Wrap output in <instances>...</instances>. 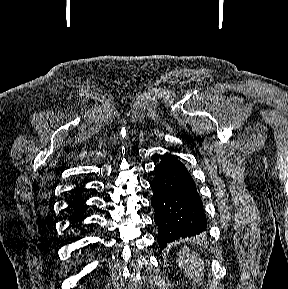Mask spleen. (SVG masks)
<instances>
[{
    "instance_id": "spleen-1",
    "label": "spleen",
    "mask_w": 288,
    "mask_h": 289,
    "mask_svg": "<svg viewBox=\"0 0 288 289\" xmlns=\"http://www.w3.org/2000/svg\"><path fill=\"white\" fill-rule=\"evenodd\" d=\"M177 262L186 276L194 282H202L204 262L198 254L184 246L178 254Z\"/></svg>"
}]
</instances>
